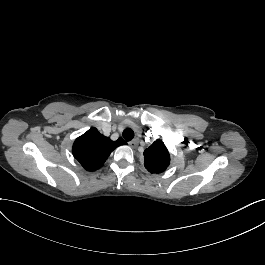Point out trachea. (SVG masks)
<instances>
[{
  "instance_id": "1",
  "label": "trachea",
  "mask_w": 265,
  "mask_h": 265,
  "mask_svg": "<svg viewBox=\"0 0 265 265\" xmlns=\"http://www.w3.org/2000/svg\"><path fill=\"white\" fill-rule=\"evenodd\" d=\"M122 136L124 137V139L126 141H130L133 139L134 137V131L130 128H126L123 133H122Z\"/></svg>"
}]
</instances>
